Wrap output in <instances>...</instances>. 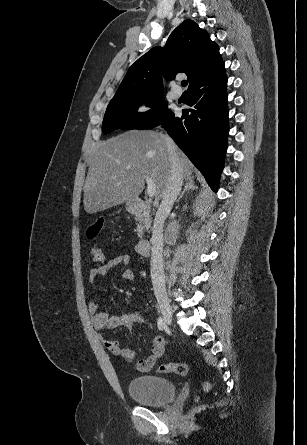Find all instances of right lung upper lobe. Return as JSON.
<instances>
[{
  "label": "right lung upper lobe",
  "mask_w": 307,
  "mask_h": 445,
  "mask_svg": "<svg viewBox=\"0 0 307 445\" xmlns=\"http://www.w3.org/2000/svg\"><path fill=\"white\" fill-rule=\"evenodd\" d=\"M222 63L209 34L194 21L185 20L164 48H152L129 68L113 99L163 93L162 76L172 80L179 72L186 73L190 87Z\"/></svg>",
  "instance_id": "right-lung-upper-lobe-1"
}]
</instances>
